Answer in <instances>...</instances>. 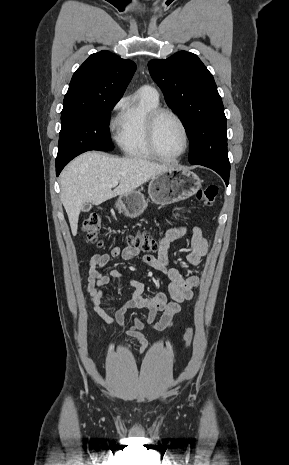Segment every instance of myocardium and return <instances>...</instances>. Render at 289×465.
Returning a JSON list of instances; mask_svg holds the SVG:
<instances>
[{"label": "myocardium", "instance_id": "f54148a6", "mask_svg": "<svg viewBox=\"0 0 289 465\" xmlns=\"http://www.w3.org/2000/svg\"><path fill=\"white\" fill-rule=\"evenodd\" d=\"M164 115H169L173 117L179 123L184 133V139H185L184 148L179 154H177L174 157L164 156L159 151V148L157 145L158 123L161 117ZM146 135H147L148 146L152 154L156 158L162 161H165V162H174V161L179 160L181 157H183L187 153L189 146H190V133L187 128V125L185 124L184 120L181 118V116L178 113H176L175 111L169 108L158 107L150 112L147 118Z\"/></svg>", "mask_w": 289, "mask_h": 465}]
</instances>
